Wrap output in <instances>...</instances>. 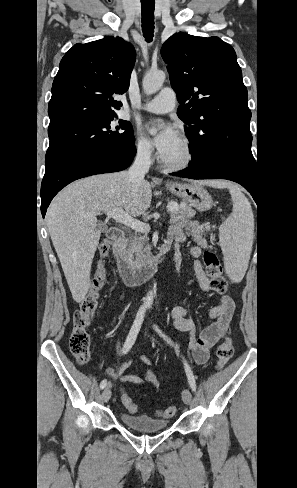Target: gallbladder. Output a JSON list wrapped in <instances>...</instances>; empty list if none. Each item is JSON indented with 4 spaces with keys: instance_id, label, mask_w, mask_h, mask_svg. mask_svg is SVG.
Returning a JSON list of instances; mask_svg holds the SVG:
<instances>
[{
    "instance_id": "bac80fb5",
    "label": "gallbladder",
    "mask_w": 297,
    "mask_h": 488,
    "mask_svg": "<svg viewBox=\"0 0 297 488\" xmlns=\"http://www.w3.org/2000/svg\"><path fill=\"white\" fill-rule=\"evenodd\" d=\"M99 228H100V231H101V232H105V231L107 230V226H106V224H103V223H101V224L99 225Z\"/></svg>"
}]
</instances>
